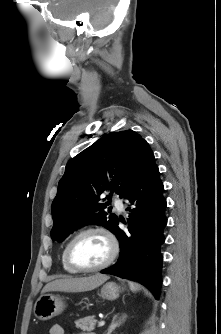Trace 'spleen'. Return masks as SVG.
<instances>
[{"label": "spleen", "mask_w": 221, "mask_h": 334, "mask_svg": "<svg viewBox=\"0 0 221 334\" xmlns=\"http://www.w3.org/2000/svg\"><path fill=\"white\" fill-rule=\"evenodd\" d=\"M130 289H131L132 291H135V290H136V288H135V286H134L133 283H130Z\"/></svg>", "instance_id": "obj_1"}]
</instances>
